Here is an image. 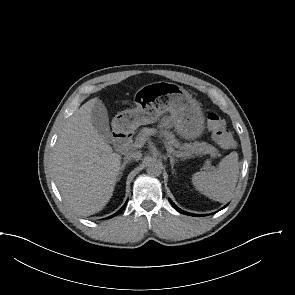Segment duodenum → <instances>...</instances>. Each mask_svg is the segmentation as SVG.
Wrapping results in <instances>:
<instances>
[{"instance_id": "duodenum-1", "label": "duodenum", "mask_w": 295, "mask_h": 295, "mask_svg": "<svg viewBox=\"0 0 295 295\" xmlns=\"http://www.w3.org/2000/svg\"><path fill=\"white\" fill-rule=\"evenodd\" d=\"M113 139L114 146L118 151H125L128 149L131 133L126 122H119L115 125Z\"/></svg>"}]
</instances>
